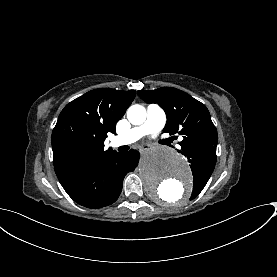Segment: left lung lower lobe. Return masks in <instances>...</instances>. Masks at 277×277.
I'll list each match as a JSON object with an SVG mask.
<instances>
[{"mask_svg":"<svg viewBox=\"0 0 277 277\" xmlns=\"http://www.w3.org/2000/svg\"><path fill=\"white\" fill-rule=\"evenodd\" d=\"M187 156L191 163V168H195L196 164H206L214 169L216 163V146L208 145L193 150L180 151Z\"/></svg>","mask_w":277,"mask_h":277,"instance_id":"0a47b994","label":"left lung lower lobe"}]
</instances>
